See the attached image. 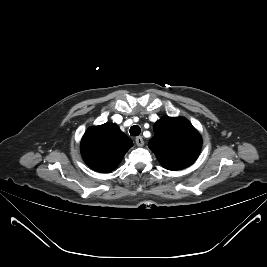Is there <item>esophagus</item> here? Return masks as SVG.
<instances>
[{
  "label": "esophagus",
  "instance_id": "1",
  "mask_svg": "<svg viewBox=\"0 0 267 267\" xmlns=\"http://www.w3.org/2000/svg\"><path fill=\"white\" fill-rule=\"evenodd\" d=\"M135 143L137 146L142 147L144 145V140L141 136L135 138Z\"/></svg>",
  "mask_w": 267,
  "mask_h": 267
}]
</instances>
